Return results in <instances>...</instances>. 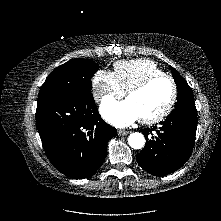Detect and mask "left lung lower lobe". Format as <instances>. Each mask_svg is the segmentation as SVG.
Masks as SVG:
<instances>
[{"mask_svg":"<svg viewBox=\"0 0 221 221\" xmlns=\"http://www.w3.org/2000/svg\"><path fill=\"white\" fill-rule=\"evenodd\" d=\"M160 124L159 128L154 126L142 130L146 145L137 154L140 167L154 176L175 172L188 160L194 147L197 112H171Z\"/></svg>","mask_w":221,"mask_h":221,"instance_id":"0a47b994","label":"left lung lower lobe"}]
</instances>
